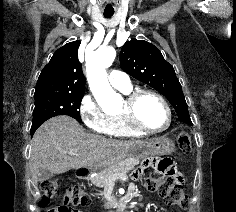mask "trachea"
<instances>
[{"mask_svg": "<svg viewBox=\"0 0 236 212\" xmlns=\"http://www.w3.org/2000/svg\"><path fill=\"white\" fill-rule=\"evenodd\" d=\"M114 12H104L105 18H111L113 16Z\"/></svg>", "mask_w": 236, "mask_h": 212, "instance_id": "1", "label": "trachea"}]
</instances>
